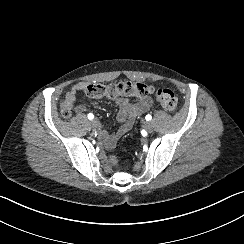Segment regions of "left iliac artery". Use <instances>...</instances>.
<instances>
[{"mask_svg": "<svg viewBox=\"0 0 244 244\" xmlns=\"http://www.w3.org/2000/svg\"><path fill=\"white\" fill-rule=\"evenodd\" d=\"M145 119H146L147 121H150V120L152 119V116L148 114V115H146Z\"/></svg>", "mask_w": 244, "mask_h": 244, "instance_id": "1", "label": "left iliac artery"}]
</instances>
